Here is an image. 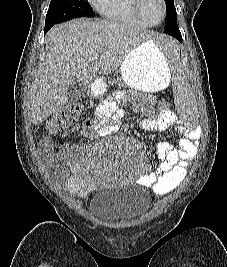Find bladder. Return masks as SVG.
Instances as JSON below:
<instances>
[{
    "label": "bladder",
    "mask_w": 227,
    "mask_h": 267,
    "mask_svg": "<svg viewBox=\"0 0 227 267\" xmlns=\"http://www.w3.org/2000/svg\"><path fill=\"white\" fill-rule=\"evenodd\" d=\"M150 199L132 185L101 188L93 194L89 208L92 215L108 224L128 223L138 219L149 207Z\"/></svg>",
    "instance_id": "31cf9c89"
}]
</instances>
